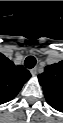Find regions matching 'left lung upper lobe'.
<instances>
[{
  "label": "left lung upper lobe",
  "mask_w": 63,
  "mask_h": 123,
  "mask_svg": "<svg viewBox=\"0 0 63 123\" xmlns=\"http://www.w3.org/2000/svg\"><path fill=\"white\" fill-rule=\"evenodd\" d=\"M45 98L50 106L61 111L63 108V67L60 63L48 65L38 76Z\"/></svg>",
  "instance_id": "5c2ea615"
}]
</instances>
